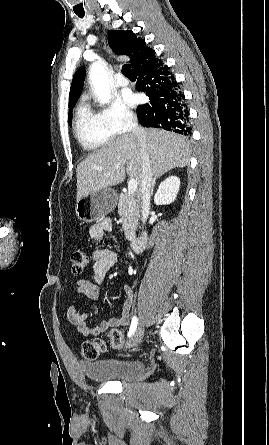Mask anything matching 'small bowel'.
Segmentation results:
<instances>
[{"label": "small bowel", "mask_w": 269, "mask_h": 445, "mask_svg": "<svg viewBox=\"0 0 269 445\" xmlns=\"http://www.w3.org/2000/svg\"><path fill=\"white\" fill-rule=\"evenodd\" d=\"M111 221L103 220L90 227V236L96 240H101L105 233L111 230ZM92 270L87 278L79 279L75 282V291L80 296L96 301L100 296V286L109 272L117 264L118 258L115 252L109 249H98L92 255ZM126 299L121 308L119 318H110L101 321L98 325L90 326L88 320L97 314V308L92 305L89 311L82 312L72 303L67 309V318L78 332L83 336H97L109 329L116 330L119 327H126L130 320L133 290L129 285L124 287Z\"/></svg>", "instance_id": "1"}]
</instances>
